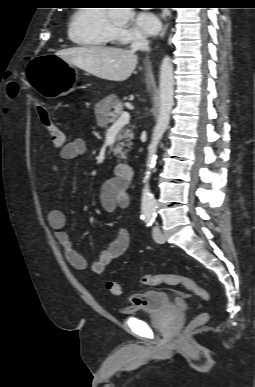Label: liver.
<instances>
[{"mask_svg": "<svg viewBox=\"0 0 255 387\" xmlns=\"http://www.w3.org/2000/svg\"><path fill=\"white\" fill-rule=\"evenodd\" d=\"M56 56L98 78L117 82L128 79L138 62L132 50L103 46L63 49Z\"/></svg>", "mask_w": 255, "mask_h": 387, "instance_id": "6515ba94", "label": "liver"}]
</instances>
